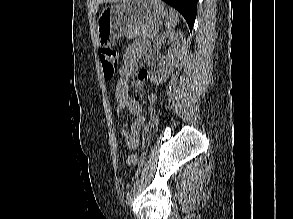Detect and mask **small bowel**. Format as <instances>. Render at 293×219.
I'll list each match as a JSON object with an SVG mask.
<instances>
[{"instance_id":"c3829d8e","label":"small bowel","mask_w":293,"mask_h":219,"mask_svg":"<svg viewBox=\"0 0 293 219\" xmlns=\"http://www.w3.org/2000/svg\"><path fill=\"white\" fill-rule=\"evenodd\" d=\"M148 49L145 41H136L131 44L123 55L122 64L119 69L120 79L116 84L115 97L117 100V113H128L135 117L130 127L125 123L120 130V135L125 142L126 147L133 151L139 144L140 132L145 124V117L141 114L140 104L132 98L129 90L128 79L132 75L135 65L144 52ZM148 79V72L141 70L138 73L136 86H143ZM149 104L155 102V96L149 95Z\"/></svg>"}]
</instances>
